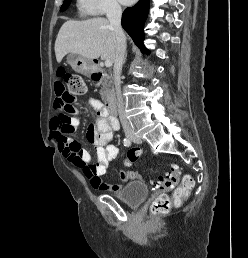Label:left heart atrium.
Segmentation results:
<instances>
[{"instance_id": "1", "label": "left heart atrium", "mask_w": 248, "mask_h": 258, "mask_svg": "<svg viewBox=\"0 0 248 258\" xmlns=\"http://www.w3.org/2000/svg\"><path fill=\"white\" fill-rule=\"evenodd\" d=\"M135 0H121V2L125 5H129L131 3H133Z\"/></svg>"}]
</instances>
